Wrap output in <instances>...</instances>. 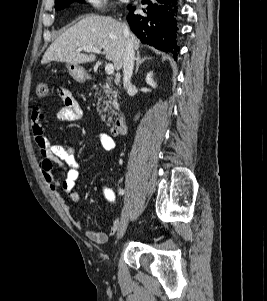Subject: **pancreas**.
I'll use <instances>...</instances> for the list:
<instances>
[{"label": "pancreas", "mask_w": 267, "mask_h": 301, "mask_svg": "<svg viewBox=\"0 0 267 301\" xmlns=\"http://www.w3.org/2000/svg\"><path fill=\"white\" fill-rule=\"evenodd\" d=\"M96 97L98 98V106L103 103L102 109H100V107L97 108L101 115V120L103 122L110 123L111 117H108L106 114L103 115V112L109 113L112 110V106L114 109L118 108L117 92L113 90L110 83H106L104 85L100 84L99 87H96Z\"/></svg>", "instance_id": "cf45deb5"}]
</instances>
